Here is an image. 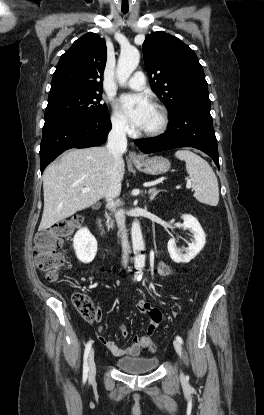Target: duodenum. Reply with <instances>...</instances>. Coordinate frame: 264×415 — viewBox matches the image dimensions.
<instances>
[{
  "label": "duodenum",
  "mask_w": 264,
  "mask_h": 415,
  "mask_svg": "<svg viewBox=\"0 0 264 415\" xmlns=\"http://www.w3.org/2000/svg\"><path fill=\"white\" fill-rule=\"evenodd\" d=\"M94 226H95L97 234L100 237H103L104 236V229H103V222H102V218H101L100 214H98L96 216L95 221H94Z\"/></svg>",
  "instance_id": "obj_1"
}]
</instances>
